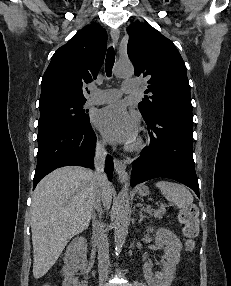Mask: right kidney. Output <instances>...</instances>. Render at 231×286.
<instances>
[{"label":"right kidney","instance_id":"obj_1","mask_svg":"<svg viewBox=\"0 0 231 286\" xmlns=\"http://www.w3.org/2000/svg\"><path fill=\"white\" fill-rule=\"evenodd\" d=\"M87 242L83 237L71 241L66 249L64 258V281L62 286H88L86 280L79 281L75 276L78 271L84 272L87 268L86 258Z\"/></svg>","mask_w":231,"mask_h":286}]
</instances>
